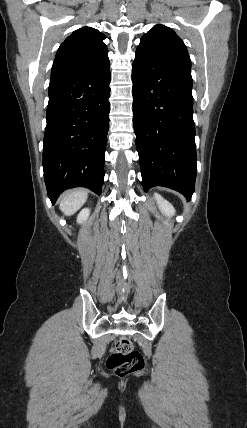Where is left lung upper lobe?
<instances>
[{
	"label": "left lung upper lobe",
	"mask_w": 247,
	"mask_h": 428,
	"mask_svg": "<svg viewBox=\"0 0 247 428\" xmlns=\"http://www.w3.org/2000/svg\"><path fill=\"white\" fill-rule=\"evenodd\" d=\"M137 50L154 54L161 59L191 70L187 48L169 27L157 25L143 35Z\"/></svg>",
	"instance_id": "5c2ea615"
}]
</instances>
